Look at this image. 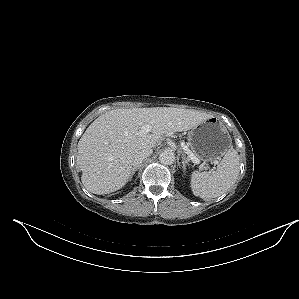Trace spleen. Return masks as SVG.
Here are the masks:
<instances>
[{"label":"spleen","instance_id":"1","mask_svg":"<svg viewBox=\"0 0 299 299\" xmlns=\"http://www.w3.org/2000/svg\"><path fill=\"white\" fill-rule=\"evenodd\" d=\"M239 156L230 148L213 172L194 171L191 175V189L195 196L202 199L216 198L225 193L237 180Z\"/></svg>","mask_w":299,"mask_h":299}]
</instances>
